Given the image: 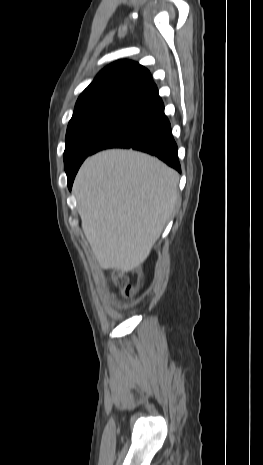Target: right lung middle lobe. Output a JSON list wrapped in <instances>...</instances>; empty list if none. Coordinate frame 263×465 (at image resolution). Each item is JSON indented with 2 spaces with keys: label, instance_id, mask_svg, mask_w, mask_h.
I'll list each match as a JSON object with an SVG mask.
<instances>
[{
  "label": "right lung middle lobe",
  "instance_id": "1",
  "mask_svg": "<svg viewBox=\"0 0 263 465\" xmlns=\"http://www.w3.org/2000/svg\"><path fill=\"white\" fill-rule=\"evenodd\" d=\"M138 100L112 98L76 107L68 124L64 152L65 171L79 168L99 140Z\"/></svg>",
  "mask_w": 263,
  "mask_h": 465
}]
</instances>
